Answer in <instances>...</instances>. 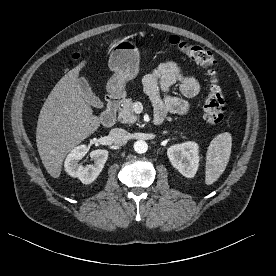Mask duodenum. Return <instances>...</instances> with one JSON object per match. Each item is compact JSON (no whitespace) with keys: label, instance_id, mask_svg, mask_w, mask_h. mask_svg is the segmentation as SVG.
Here are the masks:
<instances>
[{"label":"duodenum","instance_id":"duodenum-1","mask_svg":"<svg viewBox=\"0 0 276 276\" xmlns=\"http://www.w3.org/2000/svg\"><path fill=\"white\" fill-rule=\"evenodd\" d=\"M122 102V97L119 95H109L107 97V105L101 116L103 125L110 127L114 125L117 118V110ZM164 122V115L156 114L154 117L155 125H162Z\"/></svg>","mask_w":276,"mask_h":276}]
</instances>
